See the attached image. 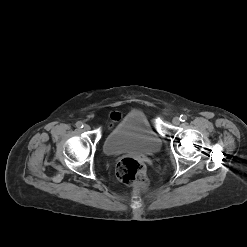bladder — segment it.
I'll return each mask as SVG.
<instances>
[{"instance_id":"bladder-1","label":"bladder","mask_w":247,"mask_h":247,"mask_svg":"<svg viewBox=\"0 0 247 247\" xmlns=\"http://www.w3.org/2000/svg\"><path fill=\"white\" fill-rule=\"evenodd\" d=\"M161 140L141 111L129 112L106 136L103 149L107 155L122 153L154 154Z\"/></svg>"}]
</instances>
